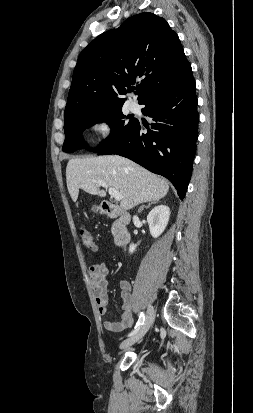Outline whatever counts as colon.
I'll return each mask as SVG.
<instances>
[{"label": "colon", "mask_w": 253, "mask_h": 413, "mask_svg": "<svg viewBox=\"0 0 253 413\" xmlns=\"http://www.w3.org/2000/svg\"><path fill=\"white\" fill-rule=\"evenodd\" d=\"M80 239H81V243L86 248H88L90 250H96L97 249L96 243L94 242L91 234L84 227H81V229H80Z\"/></svg>", "instance_id": "1"}]
</instances>
